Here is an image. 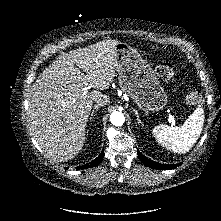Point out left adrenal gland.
I'll return each instance as SVG.
<instances>
[{
  "mask_svg": "<svg viewBox=\"0 0 221 221\" xmlns=\"http://www.w3.org/2000/svg\"><path fill=\"white\" fill-rule=\"evenodd\" d=\"M133 111H134V113H135V115H136L137 122L140 123L142 126H144L143 122H142V121L140 120V118H139L138 112H137L135 109H133Z\"/></svg>",
  "mask_w": 221,
  "mask_h": 221,
  "instance_id": "1",
  "label": "left adrenal gland"
}]
</instances>
